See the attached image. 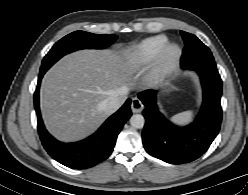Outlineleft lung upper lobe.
<instances>
[{
  "mask_svg": "<svg viewBox=\"0 0 248 195\" xmlns=\"http://www.w3.org/2000/svg\"><path fill=\"white\" fill-rule=\"evenodd\" d=\"M185 43L181 57V67L184 69L201 70L217 69L211 51L196 36L181 31Z\"/></svg>",
  "mask_w": 248,
  "mask_h": 195,
  "instance_id": "5c2ea615",
  "label": "left lung upper lobe"
}]
</instances>
